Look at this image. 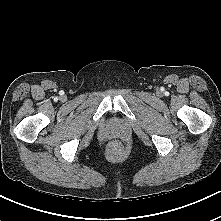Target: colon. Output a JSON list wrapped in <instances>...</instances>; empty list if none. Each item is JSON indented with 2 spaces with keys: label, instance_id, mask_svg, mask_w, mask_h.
Masks as SVG:
<instances>
[{
  "label": "colon",
  "instance_id": "colon-1",
  "mask_svg": "<svg viewBox=\"0 0 221 221\" xmlns=\"http://www.w3.org/2000/svg\"><path fill=\"white\" fill-rule=\"evenodd\" d=\"M111 148H112L114 151H120V150H121V147H120L119 144H113V145L111 146Z\"/></svg>",
  "mask_w": 221,
  "mask_h": 221
}]
</instances>
